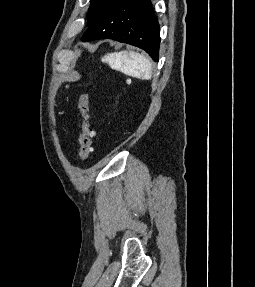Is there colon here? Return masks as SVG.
I'll return each instance as SVG.
<instances>
[{
	"label": "colon",
	"mask_w": 255,
	"mask_h": 287,
	"mask_svg": "<svg viewBox=\"0 0 255 287\" xmlns=\"http://www.w3.org/2000/svg\"><path fill=\"white\" fill-rule=\"evenodd\" d=\"M78 108L81 114V131L79 135V156L80 159L85 162L89 159L92 152V138L94 132L92 129L90 108H89V95L82 94L78 100Z\"/></svg>",
	"instance_id": "colon-1"
}]
</instances>
